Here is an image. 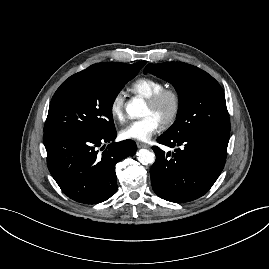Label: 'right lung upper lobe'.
Masks as SVG:
<instances>
[{
	"mask_svg": "<svg viewBox=\"0 0 269 269\" xmlns=\"http://www.w3.org/2000/svg\"><path fill=\"white\" fill-rule=\"evenodd\" d=\"M146 64L145 61L137 62L135 64H125L119 62H103L91 65L85 70H101V71H120V70H134L139 72Z\"/></svg>",
	"mask_w": 269,
	"mask_h": 269,
	"instance_id": "1",
	"label": "right lung upper lobe"
}]
</instances>
